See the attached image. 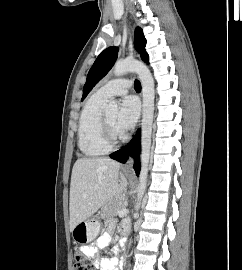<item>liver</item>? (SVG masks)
I'll return each instance as SVG.
<instances>
[{
    "label": "liver",
    "instance_id": "liver-1",
    "mask_svg": "<svg viewBox=\"0 0 242 270\" xmlns=\"http://www.w3.org/2000/svg\"><path fill=\"white\" fill-rule=\"evenodd\" d=\"M127 185L118 162L110 158L78 159L71 175L70 231L103 205L120 199Z\"/></svg>",
    "mask_w": 242,
    "mask_h": 270
}]
</instances>
